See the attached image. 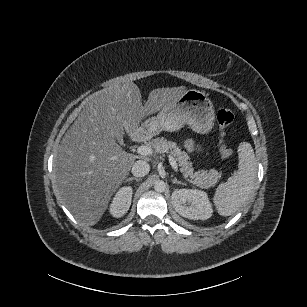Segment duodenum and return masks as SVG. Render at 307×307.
Segmentation results:
<instances>
[{
  "label": "duodenum",
  "instance_id": "obj_1",
  "mask_svg": "<svg viewBox=\"0 0 307 307\" xmlns=\"http://www.w3.org/2000/svg\"><path fill=\"white\" fill-rule=\"evenodd\" d=\"M148 134L145 131L138 130L131 136V141L135 143H140L146 141Z\"/></svg>",
  "mask_w": 307,
  "mask_h": 307
}]
</instances>
